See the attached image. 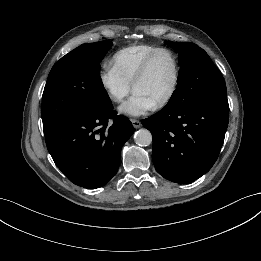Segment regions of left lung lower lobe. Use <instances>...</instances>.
Instances as JSON below:
<instances>
[{
	"label": "left lung lower lobe",
	"instance_id": "1",
	"mask_svg": "<svg viewBox=\"0 0 261 261\" xmlns=\"http://www.w3.org/2000/svg\"><path fill=\"white\" fill-rule=\"evenodd\" d=\"M229 120L226 94L176 110L164 107L142 121L153 136L157 172L175 183L192 182L207 173L219 155Z\"/></svg>",
	"mask_w": 261,
	"mask_h": 261
}]
</instances>
